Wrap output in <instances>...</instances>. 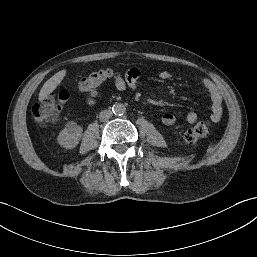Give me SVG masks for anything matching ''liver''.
Wrapping results in <instances>:
<instances>
[{"label":"liver","instance_id":"liver-1","mask_svg":"<svg viewBox=\"0 0 257 257\" xmlns=\"http://www.w3.org/2000/svg\"><path fill=\"white\" fill-rule=\"evenodd\" d=\"M66 75V70H61L48 79L39 92V101L44 100L61 83Z\"/></svg>","mask_w":257,"mask_h":257}]
</instances>
